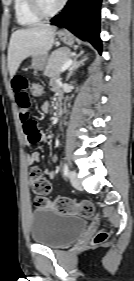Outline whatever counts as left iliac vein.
I'll return each mask as SVG.
<instances>
[{"mask_svg":"<svg viewBox=\"0 0 134 281\" xmlns=\"http://www.w3.org/2000/svg\"><path fill=\"white\" fill-rule=\"evenodd\" d=\"M69 179H70L71 184L74 187L78 188V187L81 186L80 179L78 177V174L75 171H70L69 172Z\"/></svg>","mask_w":134,"mask_h":281,"instance_id":"left-iliac-vein-1","label":"left iliac vein"}]
</instances>
